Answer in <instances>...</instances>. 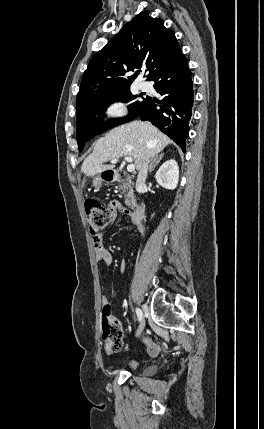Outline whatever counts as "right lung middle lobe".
<instances>
[{"label":"right lung middle lobe","instance_id":"dd1d6c3e","mask_svg":"<svg viewBox=\"0 0 264 429\" xmlns=\"http://www.w3.org/2000/svg\"><path fill=\"white\" fill-rule=\"evenodd\" d=\"M141 96V94L139 95ZM137 98L130 93L129 88L102 96L86 104L76 107V125H77V142L79 151L84 148V144L92 139L95 135L104 131L102 124L106 108L115 101L130 102ZM149 96L143 98V101H134L128 108L130 114L124 119H115L111 124L116 126L136 118L146 105Z\"/></svg>","mask_w":264,"mask_h":429}]
</instances>
